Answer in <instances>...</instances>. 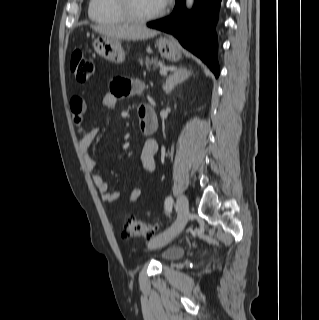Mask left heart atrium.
<instances>
[{
    "label": "left heart atrium",
    "mask_w": 319,
    "mask_h": 320,
    "mask_svg": "<svg viewBox=\"0 0 319 320\" xmlns=\"http://www.w3.org/2000/svg\"><path fill=\"white\" fill-rule=\"evenodd\" d=\"M157 2L161 8H164L168 4L169 0H157Z\"/></svg>",
    "instance_id": "39dd6f15"
}]
</instances>
